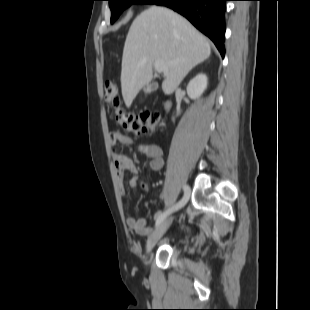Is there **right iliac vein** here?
<instances>
[{"instance_id":"1","label":"right iliac vein","mask_w":310,"mask_h":310,"mask_svg":"<svg viewBox=\"0 0 310 310\" xmlns=\"http://www.w3.org/2000/svg\"><path fill=\"white\" fill-rule=\"evenodd\" d=\"M172 222V217L166 219L163 221L158 228L149 236L146 248H145V263L148 261V256L152 252L153 248L157 244V242L161 239V237L165 234L167 229L169 228L170 224Z\"/></svg>"}]
</instances>
